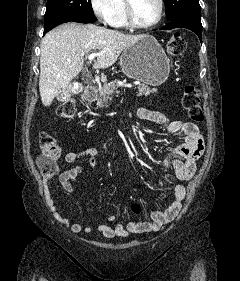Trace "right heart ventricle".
Masks as SVG:
<instances>
[{
    "label": "right heart ventricle",
    "instance_id": "e07e8e85",
    "mask_svg": "<svg viewBox=\"0 0 240 281\" xmlns=\"http://www.w3.org/2000/svg\"><path fill=\"white\" fill-rule=\"evenodd\" d=\"M115 13L111 21V25L117 28H124L128 26L126 5L124 0H115Z\"/></svg>",
    "mask_w": 240,
    "mask_h": 281
}]
</instances>
